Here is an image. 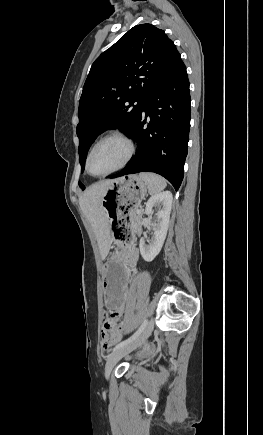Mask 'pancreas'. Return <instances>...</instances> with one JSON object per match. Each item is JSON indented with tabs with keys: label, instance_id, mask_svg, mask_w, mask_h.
Returning a JSON list of instances; mask_svg holds the SVG:
<instances>
[{
	"label": "pancreas",
	"instance_id": "pancreas-1",
	"mask_svg": "<svg viewBox=\"0 0 263 435\" xmlns=\"http://www.w3.org/2000/svg\"><path fill=\"white\" fill-rule=\"evenodd\" d=\"M140 212L137 213V210H134L130 214V222L132 224V227H134L136 230H139V223L141 220V216L143 214V210H139Z\"/></svg>",
	"mask_w": 263,
	"mask_h": 435
}]
</instances>
